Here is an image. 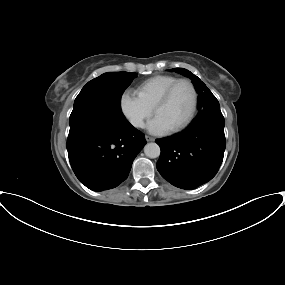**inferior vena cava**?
<instances>
[{
	"label": "inferior vena cava",
	"mask_w": 285,
	"mask_h": 285,
	"mask_svg": "<svg viewBox=\"0 0 285 285\" xmlns=\"http://www.w3.org/2000/svg\"><path fill=\"white\" fill-rule=\"evenodd\" d=\"M142 124H143L142 121H137V122L135 123L136 126H140V127L142 126Z\"/></svg>",
	"instance_id": "obj_1"
}]
</instances>
